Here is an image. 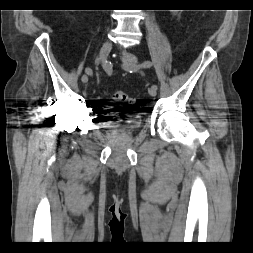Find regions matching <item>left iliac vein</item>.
<instances>
[{"label": "left iliac vein", "mask_w": 253, "mask_h": 253, "mask_svg": "<svg viewBox=\"0 0 253 253\" xmlns=\"http://www.w3.org/2000/svg\"><path fill=\"white\" fill-rule=\"evenodd\" d=\"M122 56L124 59L123 68L128 71L135 70L133 67L136 66V64L138 63L137 59L133 55L125 51L122 52ZM148 93L152 97L156 96L157 88L154 86L149 87Z\"/></svg>", "instance_id": "4c4485c4"}]
</instances>
